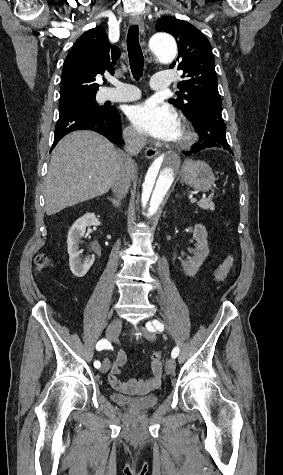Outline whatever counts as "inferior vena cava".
<instances>
[{"instance_id": "obj_1", "label": "inferior vena cava", "mask_w": 283, "mask_h": 475, "mask_svg": "<svg viewBox=\"0 0 283 475\" xmlns=\"http://www.w3.org/2000/svg\"><path fill=\"white\" fill-rule=\"evenodd\" d=\"M146 142V136L142 132L134 130V132L126 134L125 152H122L117 162L116 176L112 186V190L118 198H122L123 194H127L136 170V164L132 160V156H138Z\"/></svg>"}]
</instances>
